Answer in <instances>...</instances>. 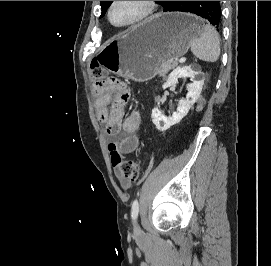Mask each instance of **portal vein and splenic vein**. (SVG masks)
I'll use <instances>...</instances> for the list:
<instances>
[{"instance_id":"18ae733b","label":"portal vein and splenic vein","mask_w":271,"mask_h":266,"mask_svg":"<svg viewBox=\"0 0 271 266\" xmlns=\"http://www.w3.org/2000/svg\"><path fill=\"white\" fill-rule=\"evenodd\" d=\"M185 61H186V58H185V57H182V58L179 59V62H180V63H184Z\"/></svg>"}]
</instances>
